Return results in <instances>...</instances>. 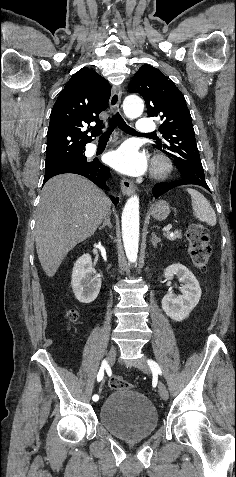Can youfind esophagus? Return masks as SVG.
Returning <instances> with one entry per match:
<instances>
[{"mask_svg": "<svg viewBox=\"0 0 236 477\" xmlns=\"http://www.w3.org/2000/svg\"><path fill=\"white\" fill-rule=\"evenodd\" d=\"M120 101H121V91L117 87H113L110 101H109L110 109L113 112H116L119 109ZM134 190H135V185L132 181L126 178H123L121 180V191L124 195H130L131 193L134 192Z\"/></svg>", "mask_w": 236, "mask_h": 477, "instance_id": "34e87169", "label": "esophagus"}]
</instances>
